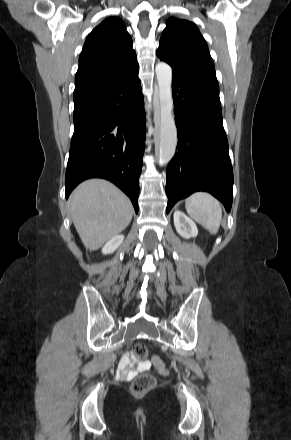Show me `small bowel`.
<instances>
[{
	"instance_id": "obj_1",
	"label": "small bowel",
	"mask_w": 291,
	"mask_h": 440,
	"mask_svg": "<svg viewBox=\"0 0 291 440\" xmlns=\"http://www.w3.org/2000/svg\"><path fill=\"white\" fill-rule=\"evenodd\" d=\"M151 368V362L140 361L133 357L131 353L124 354L118 365V375L123 378H131L143 373Z\"/></svg>"
}]
</instances>
